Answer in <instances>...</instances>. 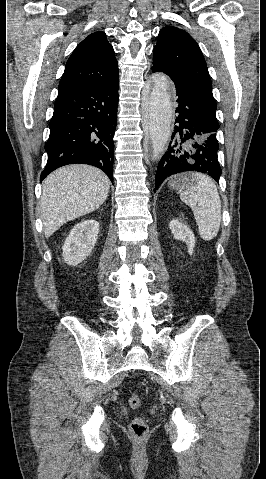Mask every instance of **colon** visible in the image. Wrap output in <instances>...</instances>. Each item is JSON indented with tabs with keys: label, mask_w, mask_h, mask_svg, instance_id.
<instances>
[{
	"label": "colon",
	"mask_w": 266,
	"mask_h": 479,
	"mask_svg": "<svg viewBox=\"0 0 266 479\" xmlns=\"http://www.w3.org/2000/svg\"><path fill=\"white\" fill-rule=\"evenodd\" d=\"M129 406L138 409L141 406V398L133 393L128 398ZM130 433L136 441H142L148 434V426L142 417L135 418L130 425Z\"/></svg>",
	"instance_id": "1"
}]
</instances>
